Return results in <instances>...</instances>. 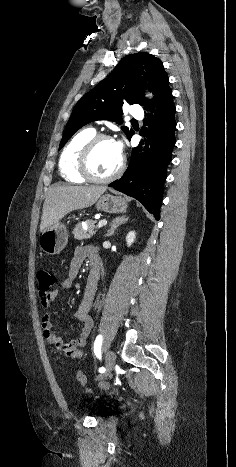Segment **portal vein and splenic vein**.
<instances>
[{
    "instance_id": "18ae733b",
    "label": "portal vein and splenic vein",
    "mask_w": 236,
    "mask_h": 467,
    "mask_svg": "<svg viewBox=\"0 0 236 467\" xmlns=\"http://www.w3.org/2000/svg\"><path fill=\"white\" fill-rule=\"evenodd\" d=\"M106 224H107L106 220H101V221H99V223L97 225V228H101V227L105 226Z\"/></svg>"
}]
</instances>
